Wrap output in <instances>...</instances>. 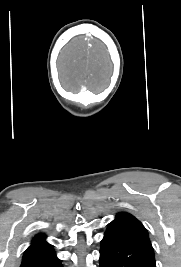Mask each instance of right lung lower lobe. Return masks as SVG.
I'll return each mask as SVG.
<instances>
[{
	"label": "right lung lower lobe",
	"instance_id": "right-lung-lower-lobe-1",
	"mask_svg": "<svg viewBox=\"0 0 181 267\" xmlns=\"http://www.w3.org/2000/svg\"><path fill=\"white\" fill-rule=\"evenodd\" d=\"M20 267H62L52 247L30 246Z\"/></svg>",
	"mask_w": 181,
	"mask_h": 267
}]
</instances>
